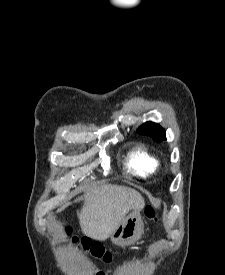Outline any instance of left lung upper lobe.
<instances>
[{
	"instance_id": "1",
	"label": "left lung upper lobe",
	"mask_w": 225,
	"mask_h": 275,
	"mask_svg": "<svg viewBox=\"0 0 225 275\" xmlns=\"http://www.w3.org/2000/svg\"><path fill=\"white\" fill-rule=\"evenodd\" d=\"M138 133L142 135H148L152 137L155 141L161 142L166 140V135L164 129L156 123L146 122L138 128Z\"/></svg>"
}]
</instances>
